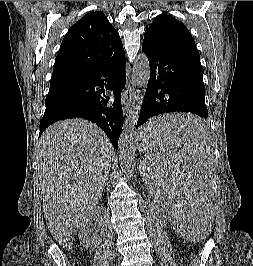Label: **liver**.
Masks as SVG:
<instances>
[{
    "instance_id": "6515ba94",
    "label": "liver",
    "mask_w": 253,
    "mask_h": 266,
    "mask_svg": "<svg viewBox=\"0 0 253 266\" xmlns=\"http://www.w3.org/2000/svg\"><path fill=\"white\" fill-rule=\"evenodd\" d=\"M111 154L105 133L82 119L58 121L39 139L44 218L65 249L72 248L77 229L101 199Z\"/></svg>"
}]
</instances>
